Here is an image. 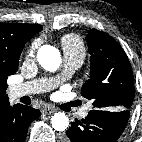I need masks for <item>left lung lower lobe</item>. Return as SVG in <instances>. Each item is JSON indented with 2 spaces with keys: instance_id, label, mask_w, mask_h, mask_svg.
Segmentation results:
<instances>
[{
  "instance_id": "obj_1",
  "label": "left lung lower lobe",
  "mask_w": 142,
  "mask_h": 142,
  "mask_svg": "<svg viewBox=\"0 0 142 142\" xmlns=\"http://www.w3.org/2000/svg\"><path fill=\"white\" fill-rule=\"evenodd\" d=\"M129 116V110H91L85 119L71 123L64 142H116Z\"/></svg>"
}]
</instances>
